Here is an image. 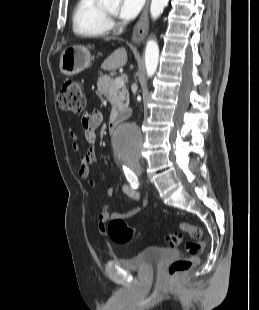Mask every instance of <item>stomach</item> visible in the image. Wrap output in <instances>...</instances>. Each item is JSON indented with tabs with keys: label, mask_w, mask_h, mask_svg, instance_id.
<instances>
[{
	"label": "stomach",
	"mask_w": 259,
	"mask_h": 310,
	"mask_svg": "<svg viewBox=\"0 0 259 310\" xmlns=\"http://www.w3.org/2000/svg\"><path fill=\"white\" fill-rule=\"evenodd\" d=\"M90 51L81 45L69 46L60 56L59 68L67 76L78 74L90 66Z\"/></svg>",
	"instance_id": "stomach-1"
}]
</instances>
